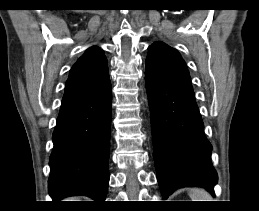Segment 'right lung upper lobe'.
<instances>
[{
	"label": "right lung upper lobe",
	"instance_id": "1",
	"mask_svg": "<svg viewBox=\"0 0 259 211\" xmlns=\"http://www.w3.org/2000/svg\"><path fill=\"white\" fill-rule=\"evenodd\" d=\"M108 84L107 59L100 48L92 46L71 68L62 104L90 97Z\"/></svg>",
	"mask_w": 259,
	"mask_h": 211
}]
</instances>
